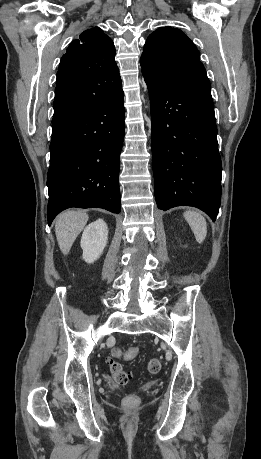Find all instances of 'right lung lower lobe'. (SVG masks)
I'll return each mask as SVG.
<instances>
[{
	"instance_id": "obj_1",
	"label": "right lung lower lobe",
	"mask_w": 261,
	"mask_h": 459,
	"mask_svg": "<svg viewBox=\"0 0 261 459\" xmlns=\"http://www.w3.org/2000/svg\"><path fill=\"white\" fill-rule=\"evenodd\" d=\"M123 96L121 87L98 106L52 129L47 176L49 225L70 207L120 212Z\"/></svg>"
}]
</instances>
